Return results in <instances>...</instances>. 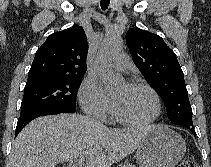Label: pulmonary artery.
<instances>
[{"label": "pulmonary artery", "mask_w": 211, "mask_h": 167, "mask_svg": "<svg viewBox=\"0 0 211 167\" xmlns=\"http://www.w3.org/2000/svg\"><path fill=\"white\" fill-rule=\"evenodd\" d=\"M112 67L118 71H127L132 66L131 60L127 54H118L112 61Z\"/></svg>", "instance_id": "1"}]
</instances>
